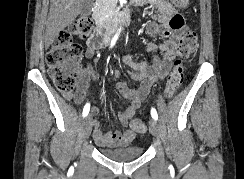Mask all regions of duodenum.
Returning <instances> with one entry per match:
<instances>
[{
	"instance_id": "410a0bca",
	"label": "duodenum",
	"mask_w": 244,
	"mask_h": 179,
	"mask_svg": "<svg viewBox=\"0 0 244 179\" xmlns=\"http://www.w3.org/2000/svg\"><path fill=\"white\" fill-rule=\"evenodd\" d=\"M130 13L131 11L129 9H126L124 13H118L115 22L111 26H108L106 28L104 27L101 18H99L97 31L89 39L90 44H92L96 48H102L106 46L107 43L111 40L113 33L118 31V29L125 22Z\"/></svg>"
}]
</instances>
